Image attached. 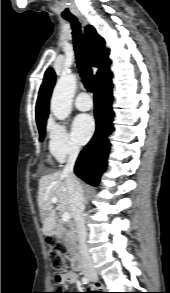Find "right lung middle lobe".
<instances>
[{
    "label": "right lung middle lobe",
    "mask_w": 170,
    "mask_h": 293,
    "mask_svg": "<svg viewBox=\"0 0 170 293\" xmlns=\"http://www.w3.org/2000/svg\"><path fill=\"white\" fill-rule=\"evenodd\" d=\"M38 129H39V133H40V141H42L44 138V134H45V127L38 128Z\"/></svg>",
    "instance_id": "dd1d6c3e"
}]
</instances>
